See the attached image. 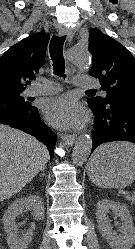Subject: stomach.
Instances as JSON below:
<instances>
[{"mask_svg":"<svg viewBox=\"0 0 135 249\" xmlns=\"http://www.w3.org/2000/svg\"><path fill=\"white\" fill-rule=\"evenodd\" d=\"M115 143L98 148L87 166L89 178L103 188H124L135 180V153L117 150Z\"/></svg>","mask_w":135,"mask_h":249,"instance_id":"0dacf381","label":"stomach"}]
</instances>
